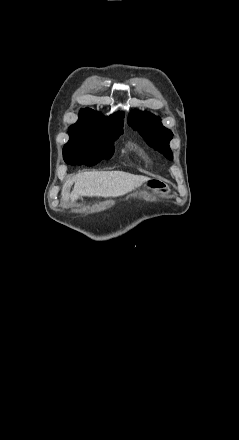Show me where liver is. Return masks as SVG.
<instances>
[{
    "instance_id": "1",
    "label": "liver",
    "mask_w": 239,
    "mask_h": 440,
    "mask_svg": "<svg viewBox=\"0 0 239 440\" xmlns=\"http://www.w3.org/2000/svg\"><path fill=\"white\" fill-rule=\"evenodd\" d=\"M146 176H134L127 172H81L66 180L62 188L63 200L75 202L81 196H103V198H117L139 188L143 182H148ZM75 186L70 194V188Z\"/></svg>"
}]
</instances>
